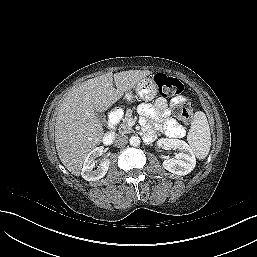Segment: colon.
Wrapping results in <instances>:
<instances>
[{
  "instance_id": "colon-1",
  "label": "colon",
  "mask_w": 257,
  "mask_h": 257,
  "mask_svg": "<svg viewBox=\"0 0 257 257\" xmlns=\"http://www.w3.org/2000/svg\"><path fill=\"white\" fill-rule=\"evenodd\" d=\"M155 83L158 87L159 93L165 98L176 96L183 92V83L174 77L168 76L164 73L155 75ZM178 118L184 122H190L193 114V106L190 103H185L176 109Z\"/></svg>"
}]
</instances>
